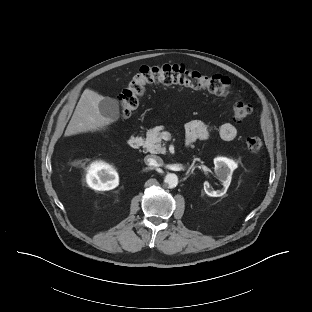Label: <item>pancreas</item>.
<instances>
[{"label": "pancreas", "instance_id": "1", "mask_svg": "<svg viewBox=\"0 0 312 312\" xmlns=\"http://www.w3.org/2000/svg\"><path fill=\"white\" fill-rule=\"evenodd\" d=\"M162 126L148 130L143 147L152 154H164L166 148L162 146Z\"/></svg>", "mask_w": 312, "mask_h": 312}]
</instances>
